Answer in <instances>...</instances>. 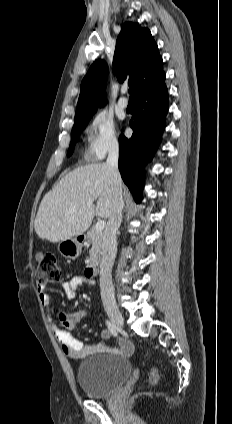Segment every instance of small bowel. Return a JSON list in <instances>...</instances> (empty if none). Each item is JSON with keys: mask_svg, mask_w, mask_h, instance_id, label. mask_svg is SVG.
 <instances>
[{"mask_svg": "<svg viewBox=\"0 0 232 424\" xmlns=\"http://www.w3.org/2000/svg\"><path fill=\"white\" fill-rule=\"evenodd\" d=\"M83 285L92 286L94 285V280L88 275L73 276L71 279L62 284V290L65 297L67 299H73L76 295L77 289ZM37 290L42 305L48 311L52 303L51 295L47 292V288L44 284H38ZM86 314L87 312L84 309L70 312L59 311L57 313V322H54L50 313L47 312L48 319L53 325L55 337L58 340L62 351L67 356L73 359H84L97 354L130 356L133 353L132 343L125 338L119 339V346L117 348H111L102 343L85 345L81 340L73 337L70 331L76 328ZM111 334V331L106 328L101 331L100 337L103 340H106L111 337Z\"/></svg>", "mask_w": 232, "mask_h": 424, "instance_id": "1", "label": "small bowel"}]
</instances>
